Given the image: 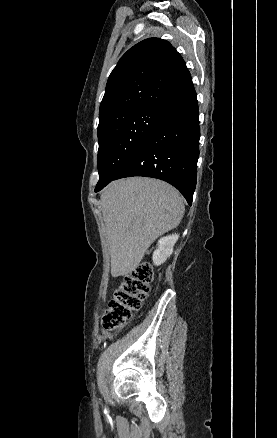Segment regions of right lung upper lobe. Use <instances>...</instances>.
Wrapping results in <instances>:
<instances>
[{"label": "right lung upper lobe", "mask_w": 277, "mask_h": 438, "mask_svg": "<svg viewBox=\"0 0 277 438\" xmlns=\"http://www.w3.org/2000/svg\"><path fill=\"white\" fill-rule=\"evenodd\" d=\"M192 89L191 75L176 49L166 40H143L129 49L111 72L99 121L114 115L165 110Z\"/></svg>", "instance_id": "right-lung-upper-lobe-1"}]
</instances>
